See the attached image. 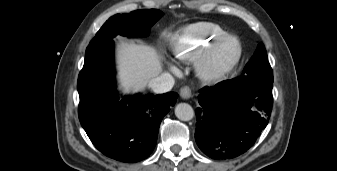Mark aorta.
I'll list each match as a JSON object with an SVG mask.
<instances>
[{"label":"aorta","instance_id":"762f6f07","mask_svg":"<svg viewBox=\"0 0 337 171\" xmlns=\"http://www.w3.org/2000/svg\"><path fill=\"white\" fill-rule=\"evenodd\" d=\"M175 115L182 121H189L194 117V110L187 103H179L175 107Z\"/></svg>","mask_w":337,"mask_h":171}]
</instances>
